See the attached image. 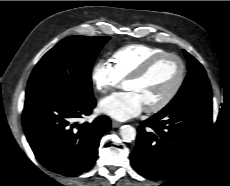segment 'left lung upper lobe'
Wrapping results in <instances>:
<instances>
[{
	"instance_id": "left-lung-upper-lobe-1",
	"label": "left lung upper lobe",
	"mask_w": 230,
	"mask_h": 186,
	"mask_svg": "<svg viewBox=\"0 0 230 186\" xmlns=\"http://www.w3.org/2000/svg\"><path fill=\"white\" fill-rule=\"evenodd\" d=\"M188 60V75L175 98L161 111L179 109L185 105L212 101L209 79L203 66L184 51Z\"/></svg>"
}]
</instances>
